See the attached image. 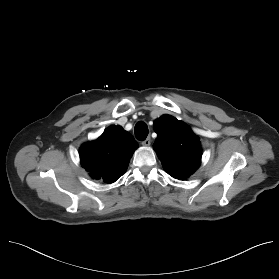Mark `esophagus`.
Wrapping results in <instances>:
<instances>
[{
	"label": "esophagus",
	"mask_w": 279,
	"mask_h": 279,
	"mask_svg": "<svg viewBox=\"0 0 279 279\" xmlns=\"http://www.w3.org/2000/svg\"><path fill=\"white\" fill-rule=\"evenodd\" d=\"M151 144V138L148 137L144 141H142L143 146H149Z\"/></svg>",
	"instance_id": "esophagus-1"
}]
</instances>
